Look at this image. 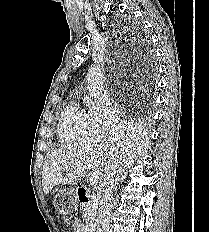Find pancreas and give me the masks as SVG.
Segmentation results:
<instances>
[{
	"mask_svg": "<svg viewBox=\"0 0 209 232\" xmlns=\"http://www.w3.org/2000/svg\"><path fill=\"white\" fill-rule=\"evenodd\" d=\"M97 200L92 198L91 201L87 204L82 205V210L84 211L86 227L90 229L95 222V217L97 214Z\"/></svg>",
	"mask_w": 209,
	"mask_h": 232,
	"instance_id": "pancreas-1",
	"label": "pancreas"
}]
</instances>
